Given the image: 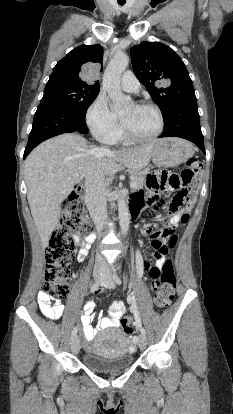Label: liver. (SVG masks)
I'll return each mask as SVG.
<instances>
[{"mask_svg":"<svg viewBox=\"0 0 233 414\" xmlns=\"http://www.w3.org/2000/svg\"><path fill=\"white\" fill-rule=\"evenodd\" d=\"M154 145L155 141L105 153L76 133H64L38 145L25 160L24 176L42 245L48 246L62 202L88 171L112 176L125 167L140 170L149 164Z\"/></svg>","mask_w":233,"mask_h":414,"instance_id":"liver-1","label":"liver"}]
</instances>
